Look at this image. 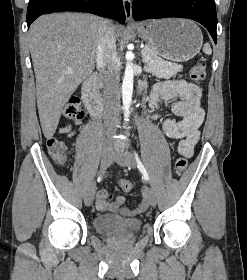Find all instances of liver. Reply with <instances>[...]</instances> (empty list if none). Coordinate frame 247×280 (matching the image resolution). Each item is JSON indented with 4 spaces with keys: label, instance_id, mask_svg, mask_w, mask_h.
Segmentation results:
<instances>
[{
    "label": "liver",
    "instance_id": "1",
    "mask_svg": "<svg viewBox=\"0 0 247 280\" xmlns=\"http://www.w3.org/2000/svg\"><path fill=\"white\" fill-rule=\"evenodd\" d=\"M100 21L90 14L53 13L30 26L37 107L47 139L53 137L65 103L95 68ZM114 28L119 37L122 27Z\"/></svg>",
    "mask_w": 247,
    "mask_h": 280
}]
</instances>
